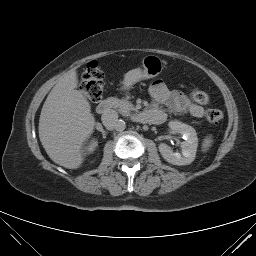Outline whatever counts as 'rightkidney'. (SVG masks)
Instances as JSON below:
<instances>
[{
    "instance_id": "1",
    "label": "right kidney",
    "mask_w": 256,
    "mask_h": 256,
    "mask_svg": "<svg viewBox=\"0 0 256 256\" xmlns=\"http://www.w3.org/2000/svg\"><path fill=\"white\" fill-rule=\"evenodd\" d=\"M96 146H97V142L96 141H92L91 144L88 146L87 151L88 152H92L93 150H95Z\"/></svg>"
}]
</instances>
